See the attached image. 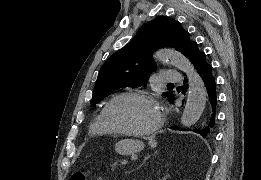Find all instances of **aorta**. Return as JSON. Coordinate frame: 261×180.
<instances>
[{"label": "aorta", "mask_w": 261, "mask_h": 180, "mask_svg": "<svg viewBox=\"0 0 261 180\" xmlns=\"http://www.w3.org/2000/svg\"><path fill=\"white\" fill-rule=\"evenodd\" d=\"M156 57L163 62H169L187 75L189 88L181 123L184 127L193 126L202 116L206 106L207 92L202 78L192 63L174 49L159 50Z\"/></svg>", "instance_id": "obj_1"}]
</instances>
